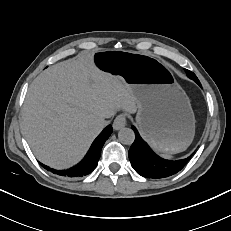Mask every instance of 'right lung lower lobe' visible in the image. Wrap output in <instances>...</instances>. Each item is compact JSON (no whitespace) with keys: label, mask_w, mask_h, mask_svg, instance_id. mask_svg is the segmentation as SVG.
Segmentation results:
<instances>
[{"label":"right lung lower lobe","mask_w":231,"mask_h":231,"mask_svg":"<svg viewBox=\"0 0 231 231\" xmlns=\"http://www.w3.org/2000/svg\"><path fill=\"white\" fill-rule=\"evenodd\" d=\"M112 133V126L108 125L100 135L94 140L92 143L88 153L84 157V159L77 164L76 166L67 169V170H55L51 169L48 166L41 164L45 169L51 171L54 174L64 176V177H82L91 173L95 167L97 166L98 160L101 155L102 147L105 141L109 138Z\"/></svg>","instance_id":"obj_1"}]
</instances>
